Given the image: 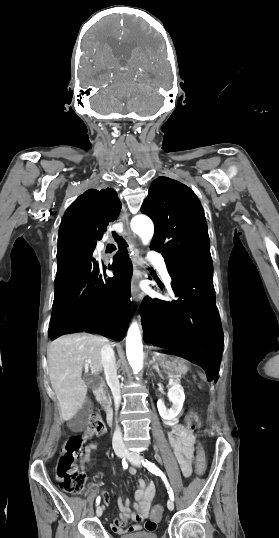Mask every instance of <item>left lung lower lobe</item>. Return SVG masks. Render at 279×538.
Segmentation results:
<instances>
[{
  "label": "left lung lower lobe",
  "instance_id": "0a47b994",
  "mask_svg": "<svg viewBox=\"0 0 279 538\" xmlns=\"http://www.w3.org/2000/svg\"><path fill=\"white\" fill-rule=\"evenodd\" d=\"M168 271L178 299L144 298L140 307L143 337L155 346L193 359L205 370L208 381H212L219 373L223 345L215 304L213 266Z\"/></svg>",
  "mask_w": 279,
  "mask_h": 538
}]
</instances>
